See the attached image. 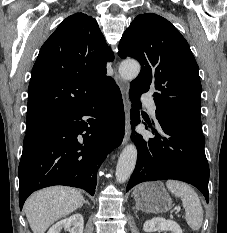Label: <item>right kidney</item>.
I'll use <instances>...</instances> for the list:
<instances>
[{
	"label": "right kidney",
	"mask_w": 227,
	"mask_h": 233,
	"mask_svg": "<svg viewBox=\"0 0 227 233\" xmlns=\"http://www.w3.org/2000/svg\"><path fill=\"white\" fill-rule=\"evenodd\" d=\"M69 233H83L84 219L81 214H74L54 224L47 233H60L62 229Z\"/></svg>",
	"instance_id": "right-kidney-1"
}]
</instances>
